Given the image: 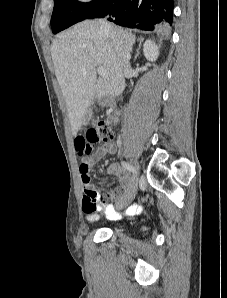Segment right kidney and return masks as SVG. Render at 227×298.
<instances>
[{
  "mask_svg": "<svg viewBox=\"0 0 227 298\" xmlns=\"http://www.w3.org/2000/svg\"><path fill=\"white\" fill-rule=\"evenodd\" d=\"M143 53L148 61H156L159 55L157 45L152 40H147L143 46Z\"/></svg>",
  "mask_w": 227,
  "mask_h": 298,
  "instance_id": "right-kidney-1",
  "label": "right kidney"
}]
</instances>
